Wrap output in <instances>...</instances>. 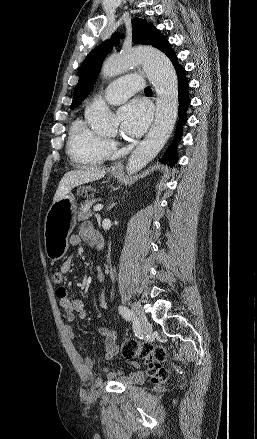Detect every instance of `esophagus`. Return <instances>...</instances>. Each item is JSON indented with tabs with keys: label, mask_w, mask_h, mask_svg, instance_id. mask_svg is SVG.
I'll use <instances>...</instances> for the list:
<instances>
[{
	"label": "esophagus",
	"mask_w": 257,
	"mask_h": 439,
	"mask_svg": "<svg viewBox=\"0 0 257 439\" xmlns=\"http://www.w3.org/2000/svg\"><path fill=\"white\" fill-rule=\"evenodd\" d=\"M111 169H112V170H115V171H117V170H123V163H122V161H118V162L114 163V164L112 165Z\"/></svg>",
	"instance_id": "1"
}]
</instances>
